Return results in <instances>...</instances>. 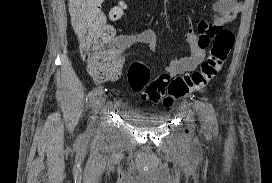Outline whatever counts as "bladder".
Returning a JSON list of instances; mask_svg holds the SVG:
<instances>
[{"label":"bladder","mask_w":272,"mask_h":183,"mask_svg":"<svg viewBox=\"0 0 272 183\" xmlns=\"http://www.w3.org/2000/svg\"><path fill=\"white\" fill-rule=\"evenodd\" d=\"M123 116L128 122L142 129H152L162 126L168 120L166 116H141L132 112H125Z\"/></svg>","instance_id":"obj_1"}]
</instances>
